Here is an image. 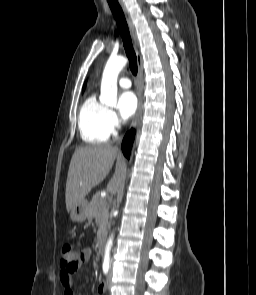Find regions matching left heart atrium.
<instances>
[{
  "label": "left heart atrium",
  "instance_id": "1",
  "mask_svg": "<svg viewBox=\"0 0 256 295\" xmlns=\"http://www.w3.org/2000/svg\"><path fill=\"white\" fill-rule=\"evenodd\" d=\"M137 108V99L133 92L127 91L120 95L118 101V111L122 120L130 119Z\"/></svg>",
  "mask_w": 256,
  "mask_h": 295
}]
</instances>
